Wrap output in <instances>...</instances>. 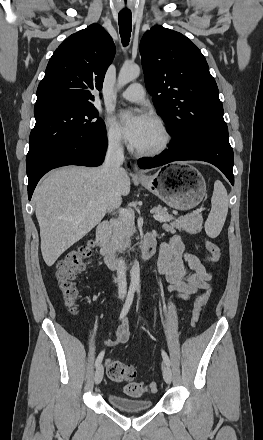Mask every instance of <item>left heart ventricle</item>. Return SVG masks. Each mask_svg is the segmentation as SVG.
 Returning a JSON list of instances; mask_svg holds the SVG:
<instances>
[{"label": "left heart ventricle", "instance_id": "1", "mask_svg": "<svg viewBox=\"0 0 263 440\" xmlns=\"http://www.w3.org/2000/svg\"><path fill=\"white\" fill-rule=\"evenodd\" d=\"M160 141L161 134L157 127L150 121L135 147L138 149H149L158 145Z\"/></svg>", "mask_w": 263, "mask_h": 440}]
</instances>
